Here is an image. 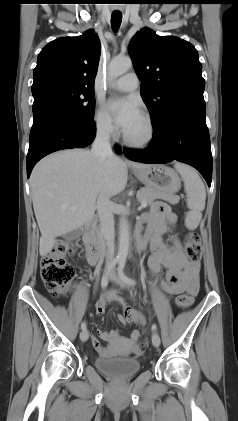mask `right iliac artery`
Listing matches in <instances>:
<instances>
[{"label": "right iliac artery", "mask_w": 238, "mask_h": 421, "mask_svg": "<svg viewBox=\"0 0 238 421\" xmlns=\"http://www.w3.org/2000/svg\"><path fill=\"white\" fill-rule=\"evenodd\" d=\"M119 262V260L118 259H114L109 265H108V267H107V270H106V272L104 273V275H103V277H102V279H101V287L103 288V289H105L106 287H107V285H108V275H109V272H110V270L113 268V267H115V265L117 264ZM81 328H82V330H86V324H85V322H82V324H81Z\"/></svg>", "instance_id": "obj_1"}]
</instances>
